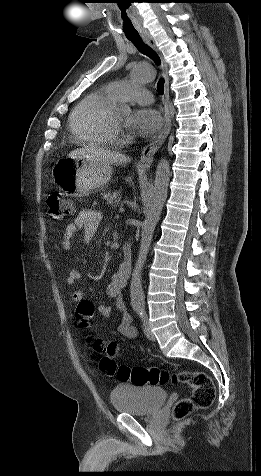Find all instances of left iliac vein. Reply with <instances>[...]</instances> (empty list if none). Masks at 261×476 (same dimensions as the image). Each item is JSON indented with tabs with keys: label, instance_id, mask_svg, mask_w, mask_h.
I'll list each match as a JSON object with an SVG mask.
<instances>
[{
	"label": "left iliac vein",
	"instance_id": "4c4485c4",
	"mask_svg": "<svg viewBox=\"0 0 261 476\" xmlns=\"http://www.w3.org/2000/svg\"><path fill=\"white\" fill-rule=\"evenodd\" d=\"M143 331H144V334L146 335V337L149 340H152V341L155 340V336L151 331L149 321H148V317L146 315L144 316V320H143Z\"/></svg>",
	"mask_w": 261,
	"mask_h": 476
}]
</instances>
